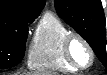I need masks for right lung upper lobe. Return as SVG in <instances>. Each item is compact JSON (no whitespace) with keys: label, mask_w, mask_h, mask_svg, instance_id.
<instances>
[{"label":"right lung upper lobe","mask_w":107,"mask_h":75,"mask_svg":"<svg viewBox=\"0 0 107 75\" xmlns=\"http://www.w3.org/2000/svg\"><path fill=\"white\" fill-rule=\"evenodd\" d=\"M45 0H0V31L13 23H31L40 14Z\"/></svg>","instance_id":"cb5924a9"}]
</instances>
